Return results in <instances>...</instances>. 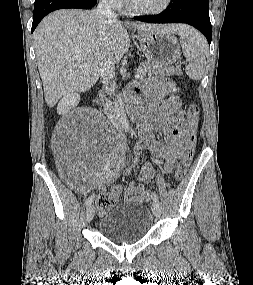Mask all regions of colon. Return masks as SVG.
<instances>
[{
	"instance_id": "5ec220e1",
	"label": "colon",
	"mask_w": 253,
	"mask_h": 285,
	"mask_svg": "<svg viewBox=\"0 0 253 285\" xmlns=\"http://www.w3.org/2000/svg\"><path fill=\"white\" fill-rule=\"evenodd\" d=\"M199 114H200L199 106L195 103L190 104L187 109V121L189 123L190 137L188 145L175 170L174 178L176 182L184 178L192 163L196 146V131L199 122ZM143 196L146 200H148L150 198V192L146 190ZM115 203H116V198L110 192L102 193L98 195L96 199V206L98 210L101 212L112 207Z\"/></svg>"
}]
</instances>
